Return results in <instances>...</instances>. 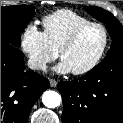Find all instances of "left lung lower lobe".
<instances>
[{"label":"left lung lower lobe","mask_w":123,"mask_h":123,"mask_svg":"<svg viewBox=\"0 0 123 123\" xmlns=\"http://www.w3.org/2000/svg\"><path fill=\"white\" fill-rule=\"evenodd\" d=\"M63 123H123V53L75 81H61Z\"/></svg>","instance_id":"left-lung-lower-lobe-1"}]
</instances>
